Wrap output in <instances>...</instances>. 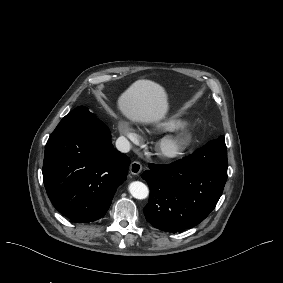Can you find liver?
Listing matches in <instances>:
<instances>
[{"label":"liver","mask_w":283,"mask_h":283,"mask_svg":"<svg viewBox=\"0 0 283 283\" xmlns=\"http://www.w3.org/2000/svg\"><path fill=\"white\" fill-rule=\"evenodd\" d=\"M118 108L133 122L157 123L168 111L167 93L151 80H137L119 97Z\"/></svg>","instance_id":"1"}]
</instances>
